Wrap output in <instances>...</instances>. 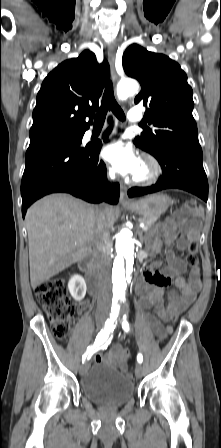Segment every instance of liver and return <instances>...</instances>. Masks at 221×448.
Instances as JSON below:
<instances>
[{
    "instance_id": "6515ba94",
    "label": "liver",
    "mask_w": 221,
    "mask_h": 448,
    "mask_svg": "<svg viewBox=\"0 0 221 448\" xmlns=\"http://www.w3.org/2000/svg\"><path fill=\"white\" fill-rule=\"evenodd\" d=\"M97 207L67 194L48 195L26 213L30 282L33 289L85 258L93 246ZM115 210L105 207L110 230Z\"/></svg>"
}]
</instances>
